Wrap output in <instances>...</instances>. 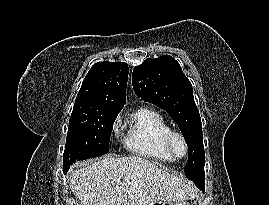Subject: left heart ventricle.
<instances>
[{"mask_svg":"<svg viewBox=\"0 0 269 205\" xmlns=\"http://www.w3.org/2000/svg\"><path fill=\"white\" fill-rule=\"evenodd\" d=\"M174 149L178 155L184 154L185 151L184 144L179 138H176L174 140Z\"/></svg>","mask_w":269,"mask_h":205,"instance_id":"b2bd125f","label":"left heart ventricle"}]
</instances>
